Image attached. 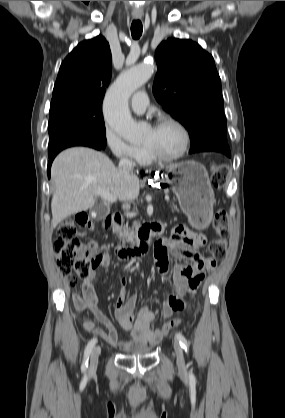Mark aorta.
I'll return each instance as SVG.
<instances>
[{"label": "aorta", "instance_id": "762f6f07", "mask_svg": "<svg viewBox=\"0 0 285 418\" xmlns=\"http://www.w3.org/2000/svg\"><path fill=\"white\" fill-rule=\"evenodd\" d=\"M153 70V63L149 61L125 69L105 97L104 117L108 126L131 143L142 140L144 128L131 117L128 100L151 78Z\"/></svg>", "mask_w": 285, "mask_h": 418}]
</instances>
